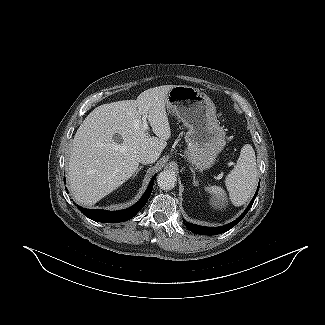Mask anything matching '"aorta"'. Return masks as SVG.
<instances>
[{"label":"aorta","instance_id":"1","mask_svg":"<svg viewBox=\"0 0 325 325\" xmlns=\"http://www.w3.org/2000/svg\"><path fill=\"white\" fill-rule=\"evenodd\" d=\"M177 178L170 170L162 171L157 177V184L163 190H171L175 187Z\"/></svg>","mask_w":325,"mask_h":325}]
</instances>
